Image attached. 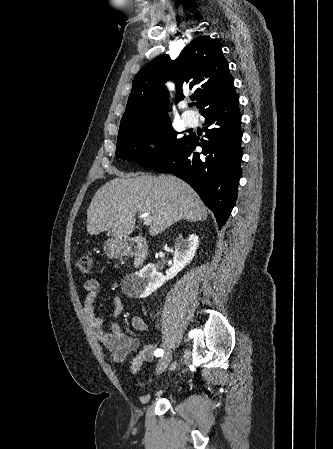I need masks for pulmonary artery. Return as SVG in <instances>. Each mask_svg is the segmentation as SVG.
Instances as JSON below:
<instances>
[{
    "instance_id": "obj_1",
    "label": "pulmonary artery",
    "mask_w": 333,
    "mask_h": 449,
    "mask_svg": "<svg viewBox=\"0 0 333 449\" xmlns=\"http://www.w3.org/2000/svg\"><path fill=\"white\" fill-rule=\"evenodd\" d=\"M182 120L184 121L185 125L188 127H193L197 124V118L191 114L190 112H184L182 114Z\"/></svg>"
}]
</instances>
